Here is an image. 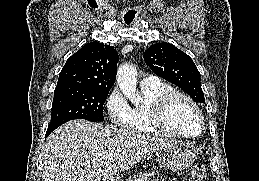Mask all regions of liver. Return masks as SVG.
<instances>
[{
    "mask_svg": "<svg viewBox=\"0 0 259 181\" xmlns=\"http://www.w3.org/2000/svg\"><path fill=\"white\" fill-rule=\"evenodd\" d=\"M171 143L134 130L69 121L47 138L42 181H108Z\"/></svg>",
    "mask_w": 259,
    "mask_h": 181,
    "instance_id": "liver-1",
    "label": "liver"
}]
</instances>
